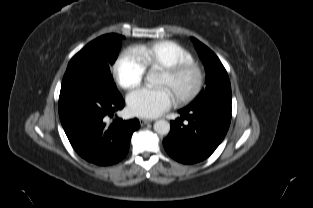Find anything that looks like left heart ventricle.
<instances>
[{"mask_svg":"<svg viewBox=\"0 0 313 208\" xmlns=\"http://www.w3.org/2000/svg\"><path fill=\"white\" fill-rule=\"evenodd\" d=\"M192 81L193 76L186 75L180 78L176 83L172 84L169 78L164 73H161L159 85L166 86L173 92V88H176L178 90L187 89L192 84Z\"/></svg>","mask_w":313,"mask_h":208,"instance_id":"1","label":"left heart ventricle"}]
</instances>
